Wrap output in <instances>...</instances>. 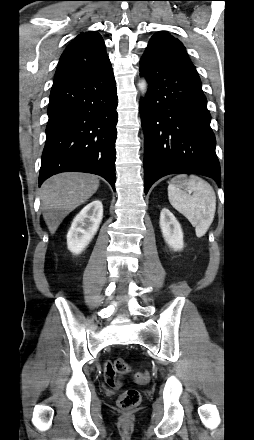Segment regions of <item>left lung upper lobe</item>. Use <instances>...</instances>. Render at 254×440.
<instances>
[{
    "label": "left lung upper lobe",
    "instance_id": "left-lung-upper-lobe-1",
    "mask_svg": "<svg viewBox=\"0 0 254 440\" xmlns=\"http://www.w3.org/2000/svg\"><path fill=\"white\" fill-rule=\"evenodd\" d=\"M144 54H155L173 61L193 65L183 44L166 31L152 36Z\"/></svg>",
    "mask_w": 254,
    "mask_h": 440
}]
</instances>
